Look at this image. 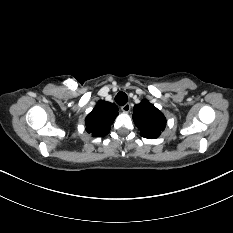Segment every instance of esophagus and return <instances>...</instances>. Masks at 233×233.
Listing matches in <instances>:
<instances>
[{
	"label": "esophagus",
	"instance_id": "34e87169",
	"mask_svg": "<svg viewBox=\"0 0 233 233\" xmlns=\"http://www.w3.org/2000/svg\"><path fill=\"white\" fill-rule=\"evenodd\" d=\"M130 109H131V106H130L129 103H127V104H125V105H123V106L121 107V110H122L123 112H126V113L129 112Z\"/></svg>",
	"mask_w": 233,
	"mask_h": 233
}]
</instances>
